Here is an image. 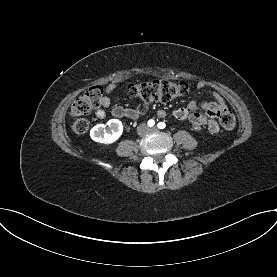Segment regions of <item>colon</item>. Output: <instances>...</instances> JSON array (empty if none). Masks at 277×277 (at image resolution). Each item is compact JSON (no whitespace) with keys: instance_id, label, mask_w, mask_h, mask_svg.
Listing matches in <instances>:
<instances>
[{"instance_id":"5ec220e1","label":"colon","mask_w":277,"mask_h":277,"mask_svg":"<svg viewBox=\"0 0 277 277\" xmlns=\"http://www.w3.org/2000/svg\"><path fill=\"white\" fill-rule=\"evenodd\" d=\"M189 90L185 82H173L169 80H152L129 86V93L145 102L168 103L178 97L185 95ZM104 97V90L100 86L87 89L72 104L70 115L74 118L72 130L77 134H83L89 129V121L83 116L99 107ZM220 122L226 130L234 129L236 125L235 116L224 111L220 116Z\"/></svg>"}]
</instances>
